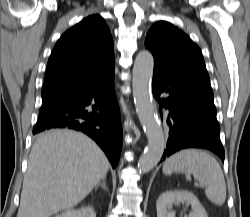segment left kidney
Returning a JSON list of instances; mask_svg holds the SVG:
<instances>
[{
  "label": "left kidney",
  "instance_id": "left-kidney-1",
  "mask_svg": "<svg viewBox=\"0 0 250 217\" xmlns=\"http://www.w3.org/2000/svg\"><path fill=\"white\" fill-rule=\"evenodd\" d=\"M180 203L191 205L192 213L189 217H208L197 197L187 190H169L163 192L156 202L157 217H175L171 209L173 205Z\"/></svg>",
  "mask_w": 250,
  "mask_h": 217
}]
</instances>
